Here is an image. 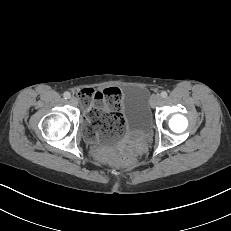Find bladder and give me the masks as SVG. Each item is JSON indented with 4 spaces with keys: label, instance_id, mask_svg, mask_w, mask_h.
Here are the masks:
<instances>
[{
    "label": "bladder",
    "instance_id": "31cf9c89",
    "mask_svg": "<svg viewBox=\"0 0 231 231\" xmlns=\"http://www.w3.org/2000/svg\"><path fill=\"white\" fill-rule=\"evenodd\" d=\"M121 106L129 134L142 136L151 131V99L146 88L135 84L128 85L122 92ZM83 135L88 138L86 127L83 128Z\"/></svg>",
    "mask_w": 231,
    "mask_h": 231
}]
</instances>
